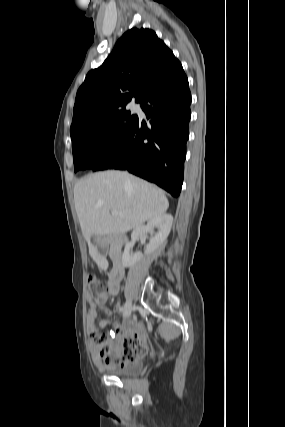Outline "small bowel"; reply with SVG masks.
Masks as SVG:
<instances>
[{"label":"small bowel","mask_w":285,"mask_h":427,"mask_svg":"<svg viewBox=\"0 0 285 427\" xmlns=\"http://www.w3.org/2000/svg\"><path fill=\"white\" fill-rule=\"evenodd\" d=\"M119 282L120 279H111L109 276L106 292L98 295L97 297H88L89 309L87 314V331L91 336L95 333H98L100 329L109 326L115 327L116 338L113 341L112 349L118 358L121 356L122 349L127 344V340L130 337L136 335L140 339L139 327L134 322H124L120 325L115 319H98L99 310H102L108 314H113L114 312L120 310V306H116L113 310L106 306L109 298L117 295L119 291ZM91 351L94 362L99 368H105L110 365L123 366L127 364V362H121L119 360L110 361L101 357L99 348L94 342L91 343Z\"/></svg>","instance_id":"1"}]
</instances>
